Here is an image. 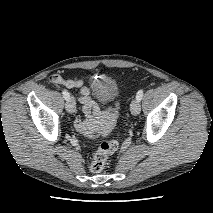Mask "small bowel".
I'll return each mask as SVG.
<instances>
[{"mask_svg":"<svg viewBox=\"0 0 213 213\" xmlns=\"http://www.w3.org/2000/svg\"><path fill=\"white\" fill-rule=\"evenodd\" d=\"M51 82L63 85L66 88H78V100L82 104V116H78L75 120V128L88 137H95L102 134L110 128L116 121L118 116L117 108H110L105 115L98 119L93 115V101L91 90L84 85L83 79H64L60 75H53Z\"/></svg>","mask_w":213,"mask_h":213,"instance_id":"small-bowel-1","label":"small bowel"}]
</instances>
